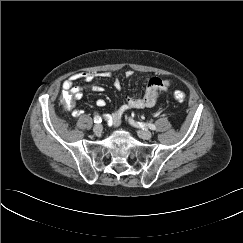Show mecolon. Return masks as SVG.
Listing matches in <instances>:
<instances>
[{"mask_svg":"<svg viewBox=\"0 0 243 243\" xmlns=\"http://www.w3.org/2000/svg\"><path fill=\"white\" fill-rule=\"evenodd\" d=\"M174 98L179 102L184 101L185 93L182 92V91H179V90L175 91L174 92ZM63 104H64L65 108L68 109V110L73 107L74 99L69 93L63 94Z\"/></svg>","mask_w":243,"mask_h":243,"instance_id":"obj_1","label":"colon"}]
</instances>
